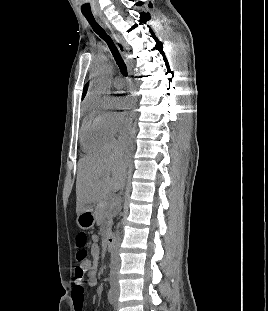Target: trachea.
Segmentation results:
<instances>
[{"instance_id": "trachea-1", "label": "trachea", "mask_w": 268, "mask_h": 311, "mask_svg": "<svg viewBox=\"0 0 268 311\" xmlns=\"http://www.w3.org/2000/svg\"><path fill=\"white\" fill-rule=\"evenodd\" d=\"M85 18L88 20L89 24L93 28V30L107 43L121 73L127 77V67L117 49L115 46L113 40L111 37L105 32V30L95 21L93 15L84 14Z\"/></svg>"}]
</instances>
